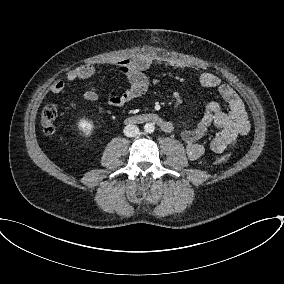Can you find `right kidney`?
I'll list each match as a JSON object with an SVG mask.
<instances>
[{
  "instance_id": "right-kidney-1",
  "label": "right kidney",
  "mask_w": 284,
  "mask_h": 284,
  "mask_svg": "<svg viewBox=\"0 0 284 284\" xmlns=\"http://www.w3.org/2000/svg\"><path fill=\"white\" fill-rule=\"evenodd\" d=\"M78 128L83 132L85 137H89L92 134L94 125L91 121H88L84 118L80 119L78 122Z\"/></svg>"
}]
</instances>
